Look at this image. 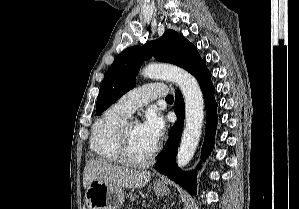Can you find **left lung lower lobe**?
I'll return each instance as SVG.
<instances>
[{"instance_id": "left-lung-lower-lobe-1", "label": "left lung lower lobe", "mask_w": 299, "mask_h": 209, "mask_svg": "<svg viewBox=\"0 0 299 209\" xmlns=\"http://www.w3.org/2000/svg\"><path fill=\"white\" fill-rule=\"evenodd\" d=\"M194 75L202 89L206 111L207 123L205 140L202 147V158L205 159L212 150L214 145V134L217 126V104L214 100L215 89L211 82V73L205 65V61L192 74ZM174 110L177 115V122L174 124L172 130L169 132V143L162 153L159 154L158 162L155 169L163 174H166L170 179L180 184L187 191L195 194V176L192 172H183L179 170L176 163V153L184 124V100L180 91L175 94Z\"/></svg>"}]
</instances>
